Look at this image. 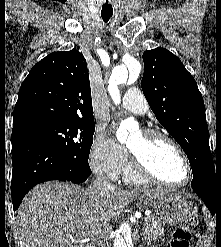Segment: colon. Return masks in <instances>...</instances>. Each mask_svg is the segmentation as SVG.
<instances>
[{"label": "colon", "instance_id": "1", "mask_svg": "<svg viewBox=\"0 0 221 247\" xmlns=\"http://www.w3.org/2000/svg\"><path fill=\"white\" fill-rule=\"evenodd\" d=\"M198 225L197 214L187 217L183 223L174 230L171 239V247H190L192 232Z\"/></svg>", "mask_w": 221, "mask_h": 247}]
</instances>
